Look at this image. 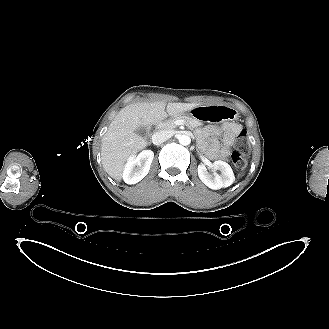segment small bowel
Wrapping results in <instances>:
<instances>
[{"mask_svg":"<svg viewBox=\"0 0 329 329\" xmlns=\"http://www.w3.org/2000/svg\"><path fill=\"white\" fill-rule=\"evenodd\" d=\"M239 124H230L224 129L217 126L205 128V134L209 136V153L212 158L223 159L230 155L236 137L241 133Z\"/></svg>","mask_w":329,"mask_h":329,"instance_id":"1","label":"small bowel"}]
</instances>
